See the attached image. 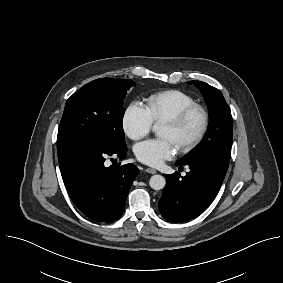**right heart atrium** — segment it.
<instances>
[{
    "instance_id": "1",
    "label": "right heart atrium",
    "mask_w": 283,
    "mask_h": 283,
    "mask_svg": "<svg viewBox=\"0 0 283 283\" xmlns=\"http://www.w3.org/2000/svg\"><path fill=\"white\" fill-rule=\"evenodd\" d=\"M125 134L132 140L146 136L153 127V121L140 101H132L125 109L122 117Z\"/></svg>"
}]
</instances>
